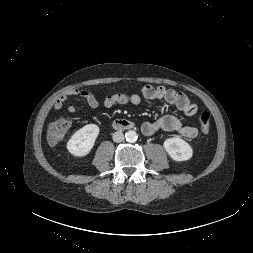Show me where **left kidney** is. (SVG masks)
Returning a JSON list of instances; mask_svg holds the SVG:
<instances>
[{"label":"left kidney","instance_id":"obj_1","mask_svg":"<svg viewBox=\"0 0 253 253\" xmlns=\"http://www.w3.org/2000/svg\"><path fill=\"white\" fill-rule=\"evenodd\" d=\"M163 146L174 161H186L193 155V150L189 143L178 137L166 139Z\"/></svg>","mask_w":253,"mask_h":253}]
</instances>
